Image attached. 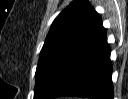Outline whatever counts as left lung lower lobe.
Wrapping results in <instances>:
<instances>
[{
	"instance_id": "0a47b994",
	"label": "left lung lower lobe",
	"mask_w": 128,
	"mask_h": 99,
	"mask_svg": "<svg viewBox=\"0 0 128 99\" xmlns=\"http://www.w3.org/2000/svg\"><path fill=\"white\" fill-rule=\"evenodd\" d=\"M78 96L113 99L112 63L102 22L57 70L43 99Z\"/></svg>"
}]
</instances>
